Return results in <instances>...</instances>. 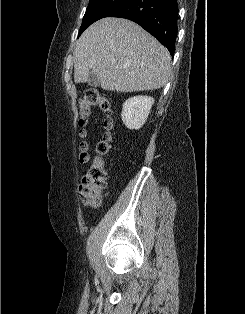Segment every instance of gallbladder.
<instances>
[{"mask_svg":"<svg viewBox=\"0 0 245 314\" xmlns=\"http://www.w3.org/2000/svg\"><path fill=\"white\" fill-rule=\"evenodd\" d=\"M87 83L90 86H94V87L98 86L99 85L98 77L93 72H90L87 77Z\"/></svg>","mask_w":245,"mask_h":314,"instance_id":"obj_1","label":"gallbladder"}]
</instances>
